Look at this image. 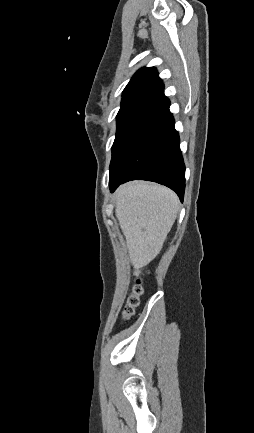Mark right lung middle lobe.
Wrapping results in <instances>:
<instances>
[{"instance_id": "right-lung-middle-lobe-1", "label": "right lung middle lobe", "mask_w": 254, "mask_h": 433, "mask_svg": "<svg viewBox=\"0 0 254 433\" xmlns=\"http://www.w3.org/2000/svg\"><path fill=\"white\" fill-rule=\"evenodd\" d=\"M140 104H124L121 105L120 110L117 114V133L115 141L112 146V153L115 151L118 143L121 139L124 127L131 116L141 107Z\"/></svg>"}]
</instances>
